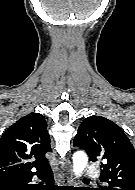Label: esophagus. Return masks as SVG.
I'll return each mask as SVG.
<instances>
[{
    "label": "esophagus",
    "instance_id": "esophagus-1",
    "mask_svg": "<svg viewBox=\"0 0 135 190\" xmlns=\"http://www.w3.org/2000/svg\"><path fill=\"white\" fill-rule=\"evenodd\" d=\"M59 177L62 185L71 186L73 184V174L69 159H66L65 162L61 165Z\"/></svg>",
    "mask_w": 135,
    "mask_h": 190
}]
</instances>
